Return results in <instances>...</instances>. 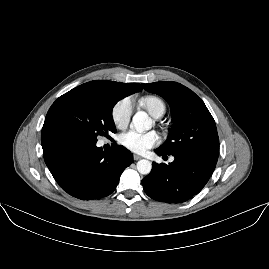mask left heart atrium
<instances>
[{
	"instance_id": "1",
	"label": "left heart atrium",
	"mask_w": 269,
	"mask_h": 269,
	"mask_svg": "<svg viewBox=\"0 0 269 269\" xmlns=\"http://www.w3.org/2000/svg\"><path fill=\"white\" fill-rule=\"evenodd\" d=\"M119 143L128 151L140 154L158 145L160 136L155 131L142 133L130 130L119 136Z\"/></svg>"
}]
</instances>
